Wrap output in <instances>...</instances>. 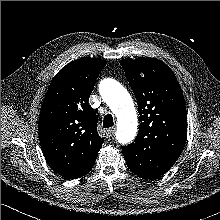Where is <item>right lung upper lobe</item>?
Wrapping results in <instances>:
<instances>
[{
    "label": "right lung upper lobe",
    "mask_w": 220,
    "mask_h": 220,
    "mask_svg": "<svg viewBox=\"0 0 220 220\" xmlns=\"http://www.w3.org/2000/svg\"><path fill=\"white\" fill-rule=\"evenodd\" d=\"M106 65L83 57L63 67L53 78L39 118L41 149L50 167L66 179L86 175L94 166L103 138L89 105L95 81Z\"/></svg>",
    "instance_id": "cb5924a9"
}]
</instances>
